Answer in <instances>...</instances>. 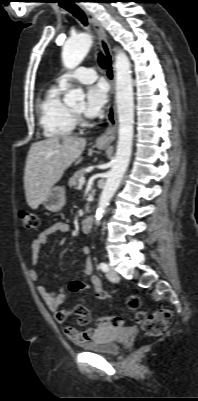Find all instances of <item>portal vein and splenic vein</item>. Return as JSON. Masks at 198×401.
I'll return each mask as SVG.
<instances>
[{
    "mask_svg": "<svg viewBox=\"0 0 198 401\" xmlns=\"http://www.w3.org/2000/svg\"><path fill=\"white\" fill-rule=\"evenodd\" d=\"M85 177H81L78 182V188H81L85 184Z\"/></svg>",
    "mask_w": 198,
    "mask_h": 401,
    "instance_id": "portal-vein-and-splenic-vein-1",
    "label": "portal vein and splenic vein"
}]
</instances>
